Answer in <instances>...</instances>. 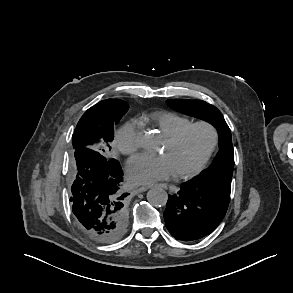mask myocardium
Segmentation results:
<instances>
[{"instance_id":"1","label":"myocardium","mask_w":293,"mask_h":293,"mask_svg":"<svg viewBox=\"0 0 293 293\" xmlns=\"http://www.w3.org/2000/svg\"><path fill=\"white\" fill-rule=\"evenodd\" d=\"M195 127H203L206 128L210 133V142L209 145L201 157V159L197 162V164L192 167L191 169L184 171V172H177L176 177L181 179H187L195 176L197 173H199L204 166L209 161L210 157L212 156L217 144H218V131L216 127L207 121H196L191 122L190 124L186 125L185 127L181 128L179 131H177L175 134L167 137V141L171 144L178 143L191 129Z\"/></svg>"}]
</instances>
